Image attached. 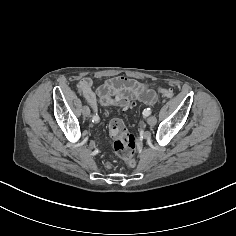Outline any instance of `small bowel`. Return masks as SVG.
I'll return each mask as SVG.
<instances>
[{
  "instance_id": "1",
  "label": "small bowel",
  "mask_w": 236,
  "mask_h": 236,
  "mask_svg": "<svg viewBox=\"0 0 236 236\" xmlns=\"http://www.w3.org/2000/svg\"><path fill=\"white\" fill-rule=\"evenodd\" d=\"M78 88L87 97L91 107L96 110V96L92 91L91 78L83 77L78 83ZM110 92H123L132 99L146 104H153L156 101V95L144 84L121 76L111 79L107 84H104L98 89L100 96Z\"/></svg>"
}]
</instances>
